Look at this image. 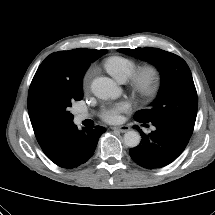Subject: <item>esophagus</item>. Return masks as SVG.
<instances>
[{
  "mask_svg": "<svg viewBox=\"0 0 215 215\" xmlns=\"http://www.w3.org/2000/svg\"><path fill=\"white\" fill-rule=\"evenodd\" d=\"M112 129L117 130V131H119L121 133H125V132L130 130V127L127 126V125H122V126H114Z\"/></svg>",
  "mask_w": 215,
  "mask_h": 215,
  "instance_id": "1",
  "label": "esophagus"
}]
</instances>
